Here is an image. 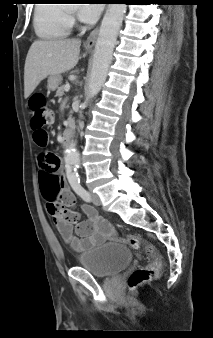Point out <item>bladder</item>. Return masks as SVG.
<instances>
[{
  "mask_svg": "<svg viewBox=\"0 0 213 338\" xmlns=\"http://www.w3.org/2000/svg\"><path fill=\"white\" fill-rule=\"evenodd\" d=\"M78 265L93 276L109 278L123 271L133 261L131 249L121 243H106L76 257Z\"/></svg>",
  "mask_w": 213,
  "mask_h": 338,
  "instance_id": "31cf9c89",
  "label": "bladder"
}]
</instances>
